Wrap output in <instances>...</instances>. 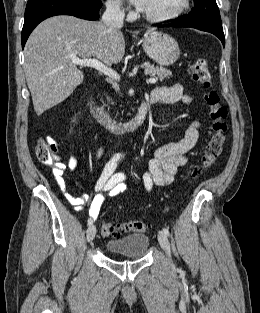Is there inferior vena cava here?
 Wrapping results in <instances>:
<instances>
[{
    "label": "inferior vena cava",
    "instance_id": "obj_1",
    "mask_svg": "<svg viewBox=\"0 0 260 313\" xmlns=\"http://www.w3.org/2000/svg\"><path fill=\"white\" fill-rule=\"evenodd\" d=\"M124 12L120 9L118 2L109 1L106 3V11L102 16V22L107 27H122Z\"/></svg>",
    "mask_w": 260,
    "mask_h": 313
}]
</instances>
